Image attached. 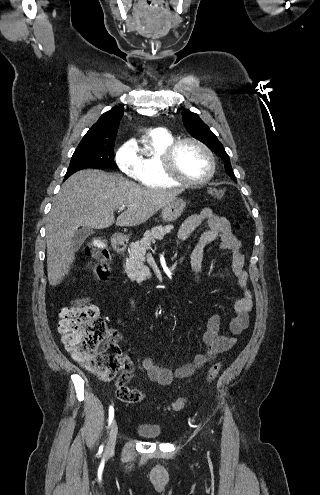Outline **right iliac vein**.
I'll use <instances>...</instances> for the list:
<instances>
[{
  "label": "right iliac vein",
  "instance_id": "obj_1",
  "mask_svg": "<svg viewBox=\"0 0 320 495\" xmlns=\"http://www.w3.org/2000/svg\"><path fill=\"white\" fill-rule=\"evenodd\" d=\"M117 433H118V427L116 421L114 420L111 426V430L105 450L107 454H110L114 451Z\"/></svg>",
  "mask_w": 320,
  "mask_h": 495
}]
</instances>
